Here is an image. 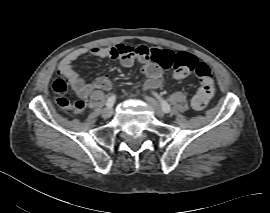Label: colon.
<instances>
[{"mask_svg":"<svg viewBox=\"0 0 270 213\" xmlns=\"http://www.w3.org/2000/svg\"><path fill=\"white\" fill-rule=\"evenodd\" d=\"M118 55L123 57L135 56L144 60L152 59L163 69L173 68L174 77L183 79L195 70L196 76L200 81V88L191 100V106L196 111H201L210 101L215 93L214 77L211 69L205 63L198 62L197 58L186 52H179L174 56L168 53H150L144 46H130L119 44L116 47ZM52 89L56 94L55 101L58 105L77 112L84 108V102L81 100H70L63 96L65 90L59 80H55Z\"/></svg>","mask_w":270,"mask_h":213,"instance_id":"1","label":"colon"}]
</instances>
